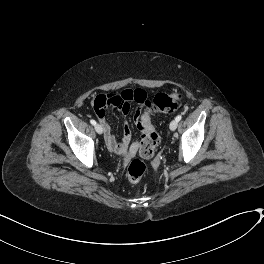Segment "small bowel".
Here are the masks:
<instances>
[{
  "instance_id": "c3829d8e",
  "label": "small bowel",
  "mask_w": 264,
  "mask_h": 264,
  "mask_svg": "<svg viewBox=\"0 0 264 264\" xmlns=\"http://www.w3.org/2000/svg\"><path fill=\"white\" fill-rule=\"evenodd\" d=\"M142 93V100L145 101L146 94L143 90L140 89H126L121 94H101L97 95L93 100V106L95 109V112L101 122L104 135H105V142L108 150L112 152L113 154L122 156V155H132L136 152L138 149L140 142L136 141L134 142L130 148L128 149V144L131 140V130L129 126L128 120H125L123 122V137L119 141L114 136L112 132V128L110 124L108 123L106 119V108L108 107H115L119 109L123 114H128L130 110L129 101L135 100L139 102L135 98L136 92ZM142 117V114L137 110L134 115V122L137 124V122Z\"/></svg>"
}]
</instances>
